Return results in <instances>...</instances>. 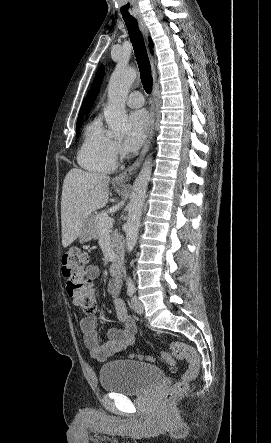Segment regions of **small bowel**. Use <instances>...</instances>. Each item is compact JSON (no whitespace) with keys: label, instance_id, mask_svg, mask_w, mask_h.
Listing matches in <instances>:
<instances>
[{"label":"small bowel","instance_id":"1","mask_svg":"<svg viewBox=\"0 0 271 443\" xmlns=\"http://www.w3.org/2000/svg\"><path fill=\"white\" fill-rule=\"evenodd\" d=\"M86 276L93 280L99 270L96 266H89L85 271ZM120 290L119 281H113L108 288L110 295L114 299V308L122 328L109 329L106 342H101L97 329L96 318L92 315L81 318L80 328L84 334V342L90 350L92 356L98 361H105L113 355L123 352L128 346L132 345L136 335V326L128 314L126 307L121 299L117 297Z\"/></svg>","mask_w":271,"mask_h":443}]
</instances>
